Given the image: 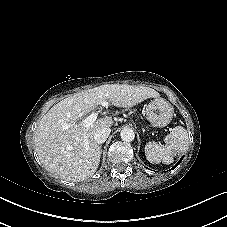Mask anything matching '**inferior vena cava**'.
<instances>
[{"label":"inferior vena cava","mask_w":227,"mask_h":227,"mask_svg":"<svg viewBox=\"0 0 227 227\" xmlns=\"http://www.w3.org/2000/svg\"><path fill=\"white\" fill-rule=\"evenodd\" d=\"M110 128H102V129H98L95 133H94V140L96 143L98 144H102L104 143L108 136L110 135Z\"/></svg>","instance_id":"inferior-vena-cava-1"}]
</instances>
